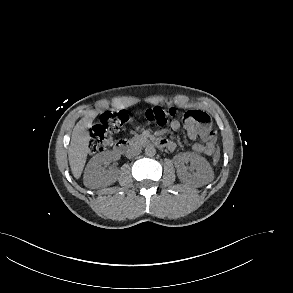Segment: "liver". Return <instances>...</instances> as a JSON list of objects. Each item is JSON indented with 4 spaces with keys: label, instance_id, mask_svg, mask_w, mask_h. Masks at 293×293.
<instances>
[{
    "label": "liver",
    "instance_id": "obj_1",
    "mask_svg": "<svg viewBox=\"0 0 293 293\" xmlns=\"http://www.w3.org/2000/svg\"><path fill=\"white\" fill-rule=\"evenodd\" d=\"M93 117H83L73 128L68 150L69 164L73 176L79 179L89 152V128Z\"/></svg>",
    "mask_w": 293,
    "mask_h": 293
}]
</instances>
